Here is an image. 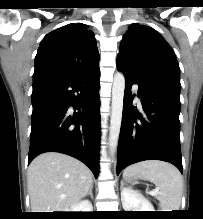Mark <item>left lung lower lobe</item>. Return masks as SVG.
Listing matches in <instances>:
<instances>
[{
  "label": "left lung lower lobe",
  "mask_w": 203,
  "mask_h": 219,
  "mask_svg": "<svg viewBox=\"0 0 203 219\" xmlns=\"http://www.w3.org/2000/svg\"><path fill=\"white\" fill-rule=\"evenodd\" d=\"M126 85L117 151V174L144 160H162L182 173L180 148V90L147 82L124 72ZM138 85L143 113L132 105L131 85Z\"/></svg>",
  "instance_id": "1"
}]
</instances>
